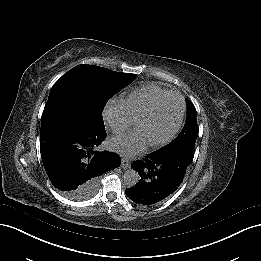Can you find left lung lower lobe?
Segmentation results:
<instances>
[{
    "label": "left lung lower lobe",
    "instance_id": "obj_1",
    "mask_svg": "<svg viewBox=\"0 0 261 261\" xmlns=\"http://www.w3.org/2000/svg\"><path fill=\"white\" fill-rule=\"evenodd\" d=\"M194 155L184 150H159L132 164L141 179L126 195L136 203L152 205L168 198L181 184Z\"/></svg>",
    "mask_w": 261,
    "mask_h": 261
}]
</instances>
